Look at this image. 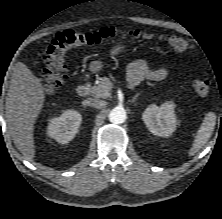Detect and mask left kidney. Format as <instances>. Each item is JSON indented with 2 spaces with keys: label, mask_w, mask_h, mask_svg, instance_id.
I'll use <instances>...</instances> for the list:
<instances>
[{
  "label": "left kidney",
  "mask_w": 222,
  "mask_h": 219,
  "mask_svg": "<svg viewBox=\"0 0 222 219\" xmlns=\"http://www.w3.org/2000/svg\"><path fill=\"white\" fill-rule=\"evenodd\" d=\"M174 109L175 104L172 101H167L160 107L152 104L145 109L142 119L152 134L169 137L175 131L177 125Z\"/></svg>",
  "instance_id": "1"
}]
</instances>
